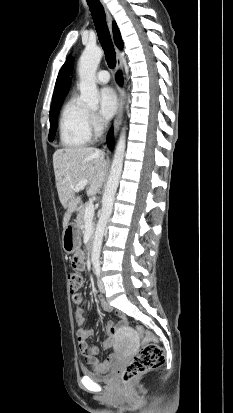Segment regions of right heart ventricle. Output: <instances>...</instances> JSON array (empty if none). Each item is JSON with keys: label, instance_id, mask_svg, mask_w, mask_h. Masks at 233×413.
<instances>
[{"label": "right heart ventricle", "instance_id": "e07e8e85", "mask_svg": "<svg viewBox=\"0 0 233 413\" xmlns=\"http://www.w3.org/2000/svg\"><path fill=\"white\" fill-rule=\"evenodd\" d=\"M90 113L75 96L70 97L62 107L59 118L60 143L67 149H78L92 140Z\"/></svg>", "mask_w": 233, "mask_h": 413}]
</instances>
